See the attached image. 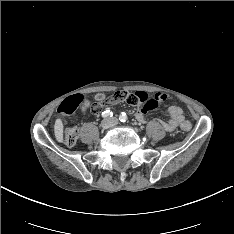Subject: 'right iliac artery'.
I'll list each match as a JSON object with an SVG mask.
<instances>
[{
    "instance_id": "1",
    "label": "right iliac artery",
    "mask_w": 234,
    "mask_h": 234,
    "mask_svg": "<svg viewBox=\"0 0 234 234\" xmlns=\"http://www.w3.org/2000/svg\"><path fill=\"white\" fill-rule=\"evenodd\" d=\"M113 116V113L110 111V110H105L102 112V117L103 118H109V117H112Z\"/></svg>"
}]
</instances>
